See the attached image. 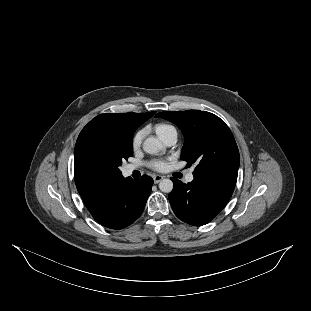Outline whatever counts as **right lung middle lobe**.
Returning a JSON list of instances; mask_svg holds the SVG:
<instances>
[{"label": "right lung middle lobe", "mask_w": 311, "mask_h": 311, "mask_svg": "<svg viewBox=\"0 0 311 311\" xmlns=\"http://www.w3.org/2000/svg\"><path fill=\"white\" fill-rule=\"evenodd\" d=\"M132 139L111 127L86 125L76 141L74 164L91 175L117 178L122 160L133 155Z\"/></svg>", "instance_id": "dd1d6c3e"}]
</instances>
